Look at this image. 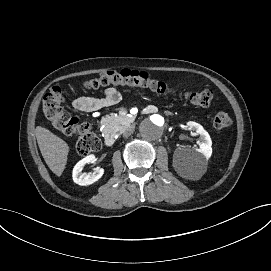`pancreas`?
Segmentation results:
<instances>
[{
  "label": "pancreas",
  "mask_w": 271,
  "mask_h": 271,
  "mask_svg": "<svg viewBox=\"0 0 271 271\" xmlns=\"http://www.w3.org/2000/svg\"><path fill=\"white\" fill-rule=\"evenodd\" d=\"M130 119H124L122 116L106 115L102 117L101 124L105 126L104 130L117 132L122 126L126 124V121Z\"/></svg>",
  "instance_id": "pancreas-1"
}]
</instances>
